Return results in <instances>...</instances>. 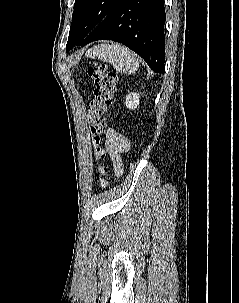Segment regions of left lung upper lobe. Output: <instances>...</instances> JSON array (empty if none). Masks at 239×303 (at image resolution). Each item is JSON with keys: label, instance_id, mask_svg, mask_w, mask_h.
I'll return each instance as SVG.
<instances>
[{"label": "left lung upper lobe", "instance_id": "1", "mask_svg": "<svg viewBox=\"0 0 239 303\" xmlns=\"http://www.w3.org/2000/svg\"><path fill=\"white\" fill-rule=\"evenodd\" d=\"M118 0H75L66 51L80 45L113 9Z\"/></svg>", "mask_w": 239, "mask_h": 303}]
</instances>
